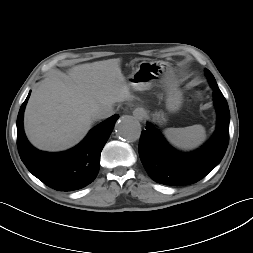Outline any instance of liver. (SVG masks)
Returning <instances> with one entry per match:
<instances>
[{
	"label": "liver",
	"instance_id": "1",
	"mask_svg": "<svg viewBox=\"0 0 253 253\" xmlns=\"http://www.w3.org/2000/svg\"><path fill=\"white\" fill-rule=\"evenodd\" d=\"M121 59L73 67L36 88L27 103L24 128L38 149L61 151L80 142L90 130L93 113L132 95L120 68Z\"/></svg>",
	"mask_w": 253,
	"mask_h": 253
}]
</instances>
